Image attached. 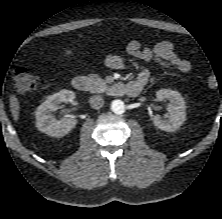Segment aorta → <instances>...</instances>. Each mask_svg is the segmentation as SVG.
Wrapping results in <instances>:
<instances>
[{"instance_id": "obj_1", "label": "aorta", "mask_w": 222, "mask_h": 219, "mask_svg": "<svg viewBox=\"0 0 222 219\" xmlns=\"http://www.w3.org/2000/svg\"><path fill=\"white\" fill-rule=\"evenodd\" d=\"M111 110L115 113V114H122L125 111V105L124 102L121 100H114L111 103Z\"/></svg>"}]
</instances>
